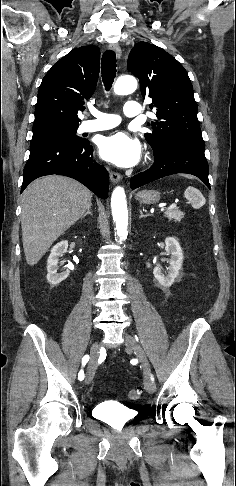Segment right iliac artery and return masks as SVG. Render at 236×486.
Instances as JSON below:
<instances>
[{"instance_id":"1","label":"right iliac artery","mask_w":236,"mask_h":486,"mask_svg":"<svg viewBox=\"0 0 236 486\" xmlns=\"http://www.w3.org/2000/svg\"><path fill=\"white\" fill-rule=\"evenodd\" d=\"M89 361V355H85L83 358H82V366H85L86 363ZM78 379L80 381H82L84 379V371L81 370L78 374Z\"/></svg>"}]
</instances>
